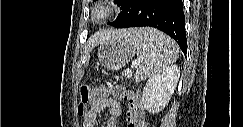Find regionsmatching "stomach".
Masks as SVG:
<instances>
[{"instance_id":"stomach-1","label":"stomach","mask_w":243,"mask_h":127,"mask_svg":"<svg viewBox=\"0 0 243 127\" xmlns=\"http://www.w3.org/2000/svg\"><path fill=\"white\" fill-rule=\"evenodd\" d=\"M134 54L135 49L132 44L118 40L102 44L98 50V59L105 68L116 70L128 63Z\"/></svg>"}]
</instances>
